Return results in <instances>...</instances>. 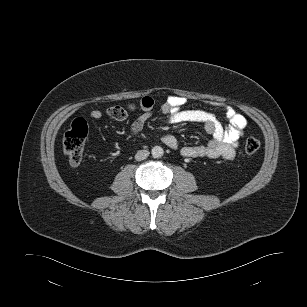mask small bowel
<instances>
[{"label": "small bowel", "mask_w": 307, "mask_h": 307, "mask_svg": "<svg viewBox=\"0 0 307 307\" xmlns=\"http://www.w3.org/2000/svg\"><path fill=\"white\" fill-rule=\"evenodd\" d=\"M185 98L177 95L168 97L162 105V113L168 124L176 125L181 123H199L210 135L209 141L204 145L185 146L181 149L182 156L186 158H223L232 160L235 157V151L247 126L246 118L238 113L233 107L226 104L217 106L225 113L229 122L228 126H223L216 116L203 109H184ZM154 100L151 97H143L138 103H131L126 108L122 106H112L107 109V115L115 120L124 121L129 112L141 111L142 114L131 124L132 141L143 130L145 124L152 116ZM100 110H92L90 117L93 120L102 118ZM162 142L172 148L178 147L177 138L172 134H165L161 138Z\"/></svg>", "instance_id": "1"}]
</instances>
